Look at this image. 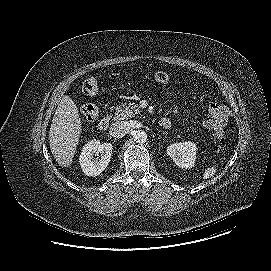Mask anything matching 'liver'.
<instances>
[{"label":"liver","instance_id":"6515ba94","mask_svg":"<svg viewBox=\"0 0 271 271\" xmlns=\"http://www.w3.org/2000/svg\"><path fill=\"white\" fill-rule=\"evenodd\" d=\"M81 134L82 121L78 108L65 95L58 104L49 131L51 153L59 166L68 168L72 165Z\"/></svg>","mask_w":271,"mask_h":271}]
</instances>
